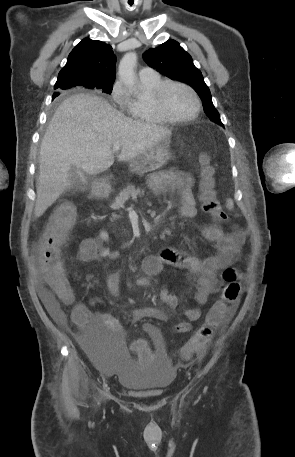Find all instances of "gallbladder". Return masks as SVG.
I'll list each match as a JSON object with an SVG mask.
<instances>
[{"label":"gallbladder","mask_w":295,"mask_h":457,"mask_svg":"<svg viewBox=\"0 0 295 457\" xmlns=\"http://www.w3.org/2000/svg\"><path fill=\"white\" fill-rule=\"evenodd\" d=\"M69 175L71 177V180L73 181V183L76 185L78 183H80V179H79V169L77 167H71L70 171H69Z\"/></svg>","instance_id":"bac80fb5"}]
</instances>
